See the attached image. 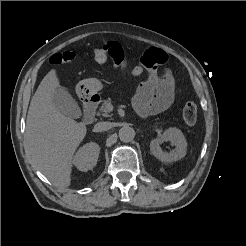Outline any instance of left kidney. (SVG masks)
I'll use <instances>...</instances> for the list:
<instances>
[{
  "label": "left kidney",
  "mask_w": 246,
  "mask_h": 246,
  "mask_svg": "<svg viewBox=\"0 0 246 246\" xmlns=\"http://www.w3.org/2000/svg\"><path fill=\"white\" fill-rule=\"evenodd\" d=\"M171 142L174 151L166 153L160 147L163 142ZM151 154L163 162H174L182 159L187 152V142L183 133L177 128H168L163 134L150 142Z\"/></svg>",
  "instance_id": "obj_1"
}]
</instances>
